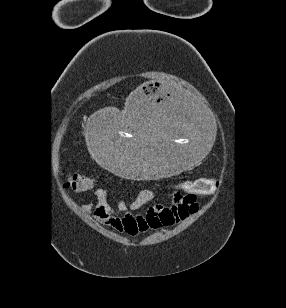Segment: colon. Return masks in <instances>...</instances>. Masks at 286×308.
<instances>
[{"instance_id": "5ec220e1", "label": "colon", "mask_w": 286, "mask_h": 308, "mask_svg": "<svg viewBox=\"0 0 286 308\" xmlns=\"http://www.w3.org/2000/svg\"><path fill=\"white\" fill-rule=\"evenodd\" d=\"M186 188L197 194H209L218 188V181L213 178H201L185 181ZM94 186V179L85 174L71 173L65 180V187L81 193Z\"/></svg>"}]
</instances>
